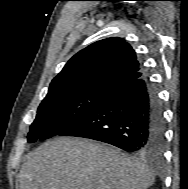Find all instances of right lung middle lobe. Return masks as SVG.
<instances>
[{
	"label": "right lung middle lobe",
	"instance_id": "1",
	"mask_svg": "<svg viewBox=\"0 0 188 189\" xmlns=\"http://www.w3.org/2000/svg\"><path fill=\"white\" fill-rule=\"evenodd\" d=\"M110 92L89 89L46 96L30 127L28 142L48 139L73 126Z\"/></svg>",
	"mask_w": 188,
	"mask_h": 189
}]
</instances>
